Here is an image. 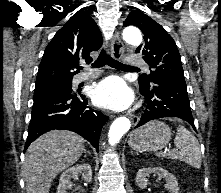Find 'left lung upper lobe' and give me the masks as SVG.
<instances>
[{"label": "left lung upper lobe", "mask_w": 221, "mask_h": 193, "mask_svg": "<svg viewBox=\"0 0 221 193\" xmlns=\"http://www.w3.org/2000/svg\"><path fill=\"white\" fill-rule=\"evenodd\" d=\"M133 25L143 32L144 44L136 53L143 55V59L150 66V75L139 78L140 88L150 87L157 77L184 80V72L180 54L173 38L165 29L143 12L133 10L124 21V26Z\"/></svg>", "instance_id": "left-lung-upper-lobe-1"}]
</instances>
